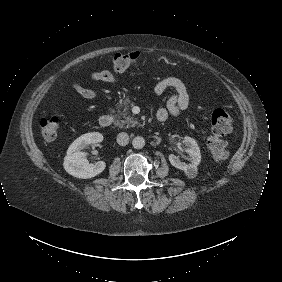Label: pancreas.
Returning a JSON list of instances; mask_svg holds the SVG:
<instances>
[{
  "instance_id": "1",
  "label": "pancreas",
  "mask_w": 282,
  "mask_h": 282,
  "mask_svg": "<svg viewBox=\"0 0 282 282\" xmlns=\"http://www.w3.org/2000/svg\"><path fill=\"white\" fill-rule=\"evenodd\" d=\"M134 106L133 102L125 99L119 104L120 109H117L118 116L115 120V125L119 127H134L138 124V119L134 117V114L130 113V109ZM110 111H113L110 109Z\"/></svg>"
}]
</instances>
